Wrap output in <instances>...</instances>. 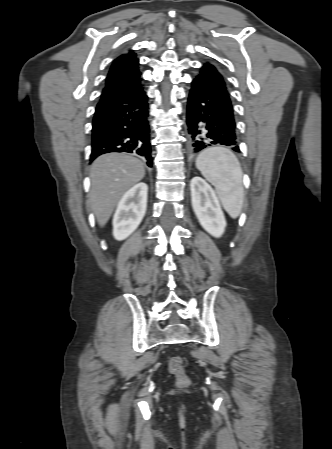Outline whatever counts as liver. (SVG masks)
Returning <instances> with one entry per match:
<instances>
[{"mask_svg": "<svg viewBox=\"0 0 332 449\" xmlns=\"http://www.w3.org/2000/svg\"><path fill=\"white\" fill-rule=\"evenodd\" d=\"M144 175L143 163L125 153H108L93 162L89 204L99 226H105L122 196Z\"/></svg>", "mask_w": 332, "mask_h": 449, "instance_id": "obj_1", "label": "liver"}]
</instances>
